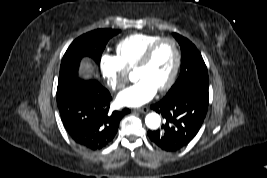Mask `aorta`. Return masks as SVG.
<instances>
[{"label": "aorta", "mask_w": 267, "mask_h": 178, "mask_svg": "<svg viewBox=\"0 0 267 178\" xmlns=\"http://www.w3.org/2000/svg\"><path fill=\"white\" fill-rule=\"evenodd\" d=\"M145 124L150 129H157L161 124V117L157 113H149L145 117Z\"/></svg>", "instance_id": "aorta-1"}]
</instances>
